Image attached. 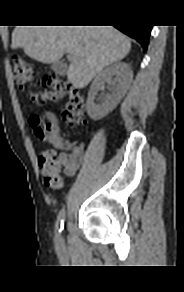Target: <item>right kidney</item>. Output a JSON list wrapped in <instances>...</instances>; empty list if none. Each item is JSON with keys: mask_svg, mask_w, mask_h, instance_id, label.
<instances>
[{"mask_svg": "<svg viewBox=\"0 0 184 292\" xmlns=\"http://www.w3.org/2000/svg\"><path fill=\"white\" fill-rule=\"evenodd\" d=\"M113 76H116L114 80H112ZM132 79L133 72L131 67L125 62H115L100 71L90 86L86 102V108L90 118L99 120L111 112L127 92ZM105 82H108L110 85L109 93L96 104L94 102L95 96L97 92L103 88Z\"/></svg>", "mask_w": 184, "mask_h": 292, "instance_id": "obj_1", "label": "right kidney"}]
</instances>
